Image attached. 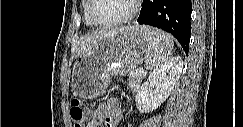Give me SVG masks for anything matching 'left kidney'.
Here are the masks:
<instances>
[{
    "label": "left kidney",
    "instance_id": "obj_1",
    "mask_svg": "<svg viewBox=\"0 0 243 127\" xmlns=\"http://www.w3.org/2000/svg\"><path fill=\"white\" fill-rule=\"evenodd\" d=\"M182 68L181 57L175 56L153 71L136 94L137 109L141 113H149L157 109L170 95L180 77Z\"/></svg>",
    "mask_w": 243,
    "mask_h": 127
}]
</instances>
